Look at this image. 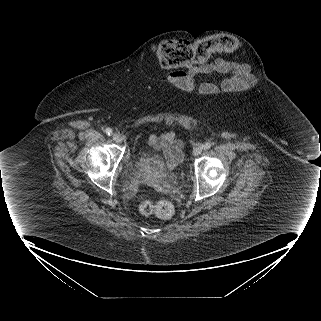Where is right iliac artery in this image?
I'll return each mask as SVG.
<instances>
[{
	"label": "right iliac artery",
	"instance_id": "right-iliac-artery-1",
	"mask_svg": "<svg viewBox=\"0 0 321 321\" xmlns=\"http://www.w3.org/2000/svg\"><path fill=\"white\" fill-rule=\"evenodd\" d=\"M105 132L109 136L113 134V132H112V130L110 128H106Z\"/></svg>",
	"mask_w": 321,
	"mask_h": 321
}]
</instances>
